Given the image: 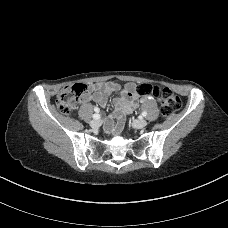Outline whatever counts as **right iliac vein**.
<instances>
[{
    "instance_id": "obj_1",
    "label": "right iliac vein",
    "mask_w": 228,
    "mask_h": 228,
    "mask_svg": "<svg viewBox=\"0 0 228 228\" xmlns=\"http://www.w3.org/2000/svg\"><path fill=\"white\" fill-rule=\"evenodd\" d=\"M100 125H101V121L98 120V119L92 120V121L90 122V126H91V127H99Z\"/></svg>"
}]
</instances>
